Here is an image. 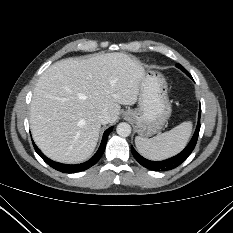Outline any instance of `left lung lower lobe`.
Segmentation results:
<instances>
[{
    "label": "left lung lower lobe",
    "mask_w": 233,
    "mask_h": 233,
    "mask_svg": "<svg viewBox=\"0 0 233 233\" xmlns=\"http://www.w3.org/2000/svg\"><path fill=\"white\" fill-rule=\"evenodd\" d=\"M187 75L190 76V74H187ZM200 116H201V108L199 110L198 124L195 130V133L191 141L189 142V144L186 146V148L178 155L172 158L166 159L164 161H150L148 159L143 158L141 155H139L136 152V150L132 147L131 151H132L133 156L143 167L150 169V170L167 171V170L176 168L191 154V152L195 148V145L198 140L199 130H200Z\"/></svg>",
    "instance_id": "1"
}]
</instances>
